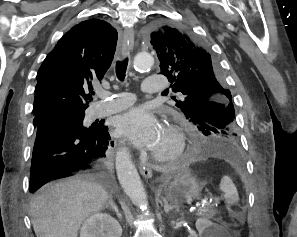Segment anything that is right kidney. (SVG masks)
Returning a JSON list of instances; mask_svg holds the SVG:
<instances>
[{
    "label": "right kidney",
    "mask_w": 297,
    "mask_h": 237,
    "mask_svg": "<svg viewBox=\"0 0 297 237\" xmlns=\"http://www.w3.org/2000/svg\"><path fill=\"white\" fill-rule=\"evenodd\" d=\"M119 222L106 213H95L83 224L80 237H121Z\"/></svg>",
    "instance_id": "right-kidney-1"
}]
</instances>
